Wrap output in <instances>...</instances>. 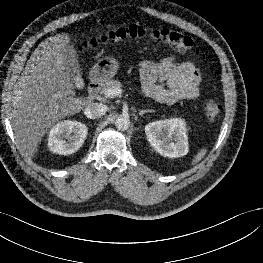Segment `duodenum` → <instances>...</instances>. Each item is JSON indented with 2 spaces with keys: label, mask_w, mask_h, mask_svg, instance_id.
<instances>
[{
  "label": "duodenum",
  "mask_w": 263,
  "mask_h": 263,
  "mask_svg": "<svg viewBox=\"0 0 263 263\" xmlns=\"http://www.w3.org/2000/svg\"><path fill=\"white\" fill-rule=\"evenodd\" d=\"M100 88H101L100 82L96 80L91 81L88 85V90H87L89 98H95L98 95Z\"/></svg>",
  "instance_id": "duodenum-1"
}]
</instances>
